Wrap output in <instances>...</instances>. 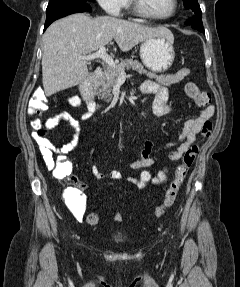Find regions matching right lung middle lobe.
I'll return each mask as SVG.
<instances>
[{"label": "right lung middle lobe", "instance_id": "obj_1", "mask_svg": "<svg viewBox=\"0 0 240 287\" xmlns=\"http://www.w3.org/2000/svg\"><path fill=\"white\" fill-rule=\"evenodd\" d=\"M94 1L95 0H50L47 6V9H46V13L54 8L67 6V5H74V4L90 3Z\"/></svg>", "mask_w": 240, "mask_h": 287}]
</instances>
